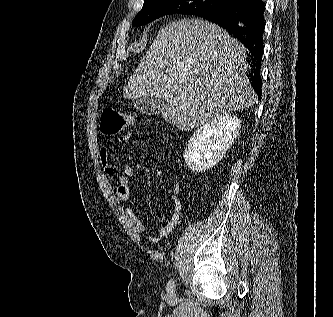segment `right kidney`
<instances>
[{"label":"right kidney","instance_id":"right-kidney-1","mask_svg":"<svg viewBox=\"0 0 333 317\" xmlns=\"http://www.w3.org/2000/svg\"><path fill=\"white\" fill-rule=\"evenodd\" d=\"M241 120L233 115L214 118L196 130L183 154L193 172H204L216 165L239 134Z\"/></svg>","mask_w":333,"mask_h":317}]
</instances>
